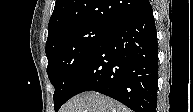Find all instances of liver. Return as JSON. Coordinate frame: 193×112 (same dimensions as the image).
Segmentation results:
<instances>
[{"instance_id": "liver-1", "label": "liver", "mask_w": 193, "mask_h": 112, "mask_svg": "<svg viewBox=\"0 0 193 112\" xmlns=\"http://www.w3.org/2000/svg\"><path fill=\"white\" fill-rule=\"evenodd\" d=\"M61 112H130V110L107 96L90 91L67 101Z\"/></svg>"}]
</instances>
